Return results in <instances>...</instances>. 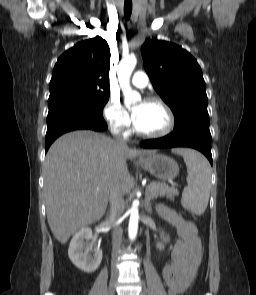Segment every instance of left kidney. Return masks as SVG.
<instances>
[{
    "label": "left kidney",
    "mask_w": 256,
    "mask_h": 295,
    "mask_svg": "<svg viewBox=\"0 0 256 295\" xmlns=\"http://www.w3.org/2000/svg\"><path fill=\"white\" fill-rule=\"evenodd\" d=\"M158 247H159L160 249L164 248V247L162 246V244H159Z\"/></svg>",
    "instance_id": "left-kidney-1"
}]
</instances>
